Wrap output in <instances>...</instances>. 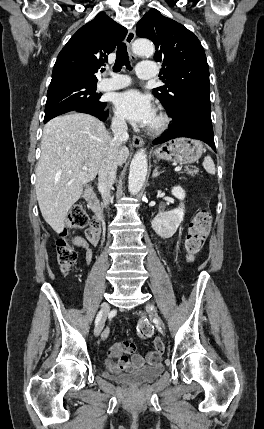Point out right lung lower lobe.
Returning a JSON list of instances; mask_svg holds the SVG:
<instances>
[{"instance_id":"right-lung-lower-lobe-1","label":"right lung lower lobe","mask_w":264,"mask_h":429,"mask_svg":"<svg viewBox=\"0 0 264 429\" xmlns=\"http://www.w3.org/2000/svg\"><path fill=\"white\" fill-rule=\"evenodd\" d=\"M104 109L100 110V111H95V110H90V109H76V110H72L70 112H81V113L91 114L95 117H98L100 120L104 121L108 116V111H105ZM44 123H46V121H44Z\"/></svg>"}]
</instances>
